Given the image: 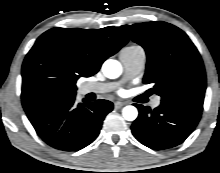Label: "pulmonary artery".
I'll return each mask as SVG.
<instances>
[{
	"label": "pulmonary artery",
	"mask_w": 220,
	"mask_h": 173,
	"mask_svg": "<svg viewBox=\"0 0 220 173\" xmlns=\"http://www.w3.org/2000/svg\"><path fill=\"white\" fill-rule=\"evenodd\" d=\"M120 60L124 68V80H129L142 72L145 67L146 55L140 48H129L120 53ZM116 85V83H88L86 92L107 93L113 90ZM159 103L160 99L156 97L152 102V106L156 107Z\"/></svg>",
	"instance_id": "obj_1"
}]
</instances>
